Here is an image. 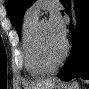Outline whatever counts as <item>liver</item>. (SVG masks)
I'll return each instance as SVG.
<instances>
[{
    "instance_id": "obj_1",
    "label": "liver",
    "mask_w": 89,
    "mask_h": 89,
    "mask_svg": "<svg viewBox=\"0 0 89 89\" xmlns=\"http://www.w3.org/2000/svg\"><path fill=\"white\" fill-rule=\"evenodd\" d=\"M60 83L56 78H51L47 80L37 81L28 86V89H52L53 86Z\"/></svg>"
}]
</instances>
